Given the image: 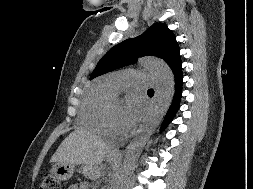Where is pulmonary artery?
<instances>
[{"mask_svg":"<svg viewBox=\"0 0 253 189\" xmlns=\"http://www.w3.org/2000/svg\"><path fill=\"white\" fill-rule=\"evenodd\" d=\"M107 84L114 92H117L127 86H152L154 84V78L143 73H119L110 76L107 79Z\"/></svg>","mask_w":253,"mask_h":189,"instance_id":"pulmonary-artery-1","label":"pulmonary artery"}]
</instances>
